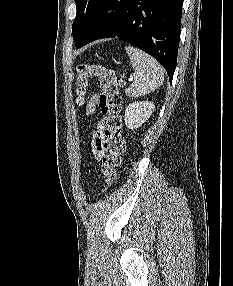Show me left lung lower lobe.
Returning <instances> with one entry per match:
<instances>
[{
    "mask_svg": "<svg viewBox=\"0 0 233 286\" xmlns=\"http://www.w3.org/2000/svg\"><path fill=\"white\" fill-rule=\"evenodd\" d=\"M183 0H101L75 41L80 48L115 37L152 55L172 82L180 41Z\"/></svg>",
    "mask_w": 233,
    "mask_h": 286,
    "instance_id": "0a47b994",
    "label": "left lung lower lobe"
}]
</instances>
